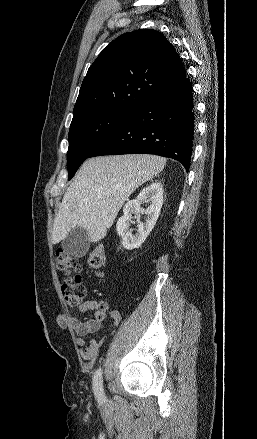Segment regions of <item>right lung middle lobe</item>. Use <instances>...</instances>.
<instances>
[{
    "label": "right lung middle lobe",
    "mask_w": 257,
    "mask_h": 439,
    "mask_svg": "<svg viewBox=\"0 0 257 439\" xmlns=\"http://www.w3.org/2000/svg\"><path fill=\"white\" fill-rule=\"evenodd\" d=\"M130 114L124 111L98 110L73 117L67 153L68 180L98 144Z\"/></svg>",
    "instance_id": "obj_1"
}]
</instances>
